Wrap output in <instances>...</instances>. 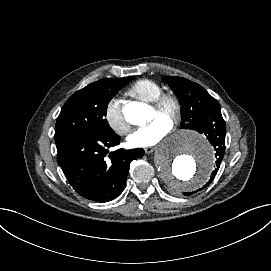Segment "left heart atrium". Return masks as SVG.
<instances>
[{"mask_svg":"<svg viewBox=\"0 0 271 271\" xmlns=\"http://www.w3.org/2000/svg\"><path fill=\"white\" fill-rule=\"evenodd\" d=\"M171 132V125L163 119H155L146 126L133 129L127 137L133 147L147 148L166 138Z\"/></svg>","mask_w":271,"mask_h":271,"instance_id":"obj_1","label":"left heart atrium"}]
</instances>
